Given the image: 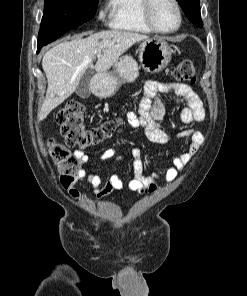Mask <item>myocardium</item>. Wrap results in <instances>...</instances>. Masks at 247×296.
Instances as JSON below:
<instances>
[{"mask_svg": "<svg viewBox=\"0 0 247 296\" xmlns=\"http://www.w3.org/2000/svg\"><path fill=\"white\" fill-rule=\"evenodd\" d=\"M169 1L173 4L176 10L178 22L174 28L170 30H163L156 25L153 18V7H154L155 0H144L143 10H142L144 20L146 21L147 25L152 29V31L156 33L172 34L176 32L182 25V11H181L180 4L178 3L177 0H169Z\"/></svg>", "mask_w": 247, "mask_h": 296, "instance_id": "1", "label": "myocardium"}]
</instances>
